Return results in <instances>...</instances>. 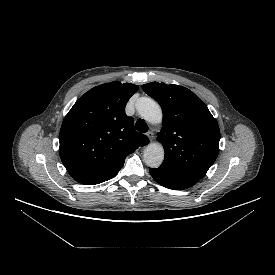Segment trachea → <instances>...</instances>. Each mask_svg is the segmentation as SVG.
Wrapping results in <instances>:
<instances>
[{
	"label": "trachea",
	"mask_w": 275,
	"mask_h": 275,
	"mask_svg": "<svg viewBox=\"0 0 275 275\" xmlns=\"http://www.w3.org/2000/svg\"><path fill=\"white\" fill-rule=\"evenodd\" d=\"M135 128L141 133H146L148 131V125L143 119H138L136 121Z\"/></svg>",
	"instance_id": "trachea-1"
}]
</instances>
